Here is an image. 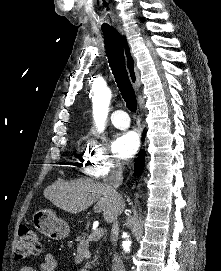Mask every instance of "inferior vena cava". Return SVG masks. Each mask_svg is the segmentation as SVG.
<instances>
[{
  "mask_svg": "<svg viewBox=\"0 0 221 271\" xmlns=\"http://www.w3.org/2000/svg\"><path fill=\"white\" fill-rule=\"evenodd\" d=\"M123 165H115L112 167L110 171V175L105 177L104 185H105V193L106 197H111V199H117L120 197L117 189L119 185H121L123 181ZM120 223L118 219V215H114L112 219V227H111V241L113 245H117V239L119 235ZM112 271H126L125 265L123 263L122 257L118 255L117 251H113V259H112Z\"/></svg>",
  "mask_w": 221,
  "mask_h": 271,
  "instance_id": "1",
  "label": "inferior vena cava"
}]
</instances>
